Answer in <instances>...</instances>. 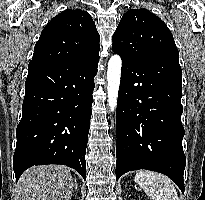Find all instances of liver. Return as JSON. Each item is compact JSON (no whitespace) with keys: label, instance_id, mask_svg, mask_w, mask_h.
Segmentation results:
<instances>
[{"label":"liver","instance_id":"liver-1","mask_svg":"<svg viewBox=\"0 0 205 200\" xmlns=\"http://www.w3.org/2000/svg\"><path fill=\"white\" fill-rule=\"evenodd\" d=\"M74 188L68 167L42 165L27 169L17 184L19 200H71Z\"/></svg>","mask_w":205,"mask_h":200}]
</instances>
